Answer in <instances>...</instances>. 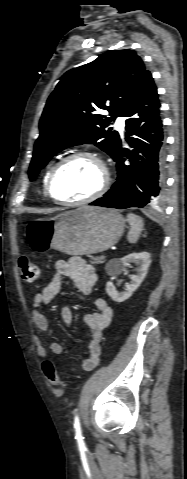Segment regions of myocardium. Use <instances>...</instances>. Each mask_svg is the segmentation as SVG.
<instances>
[{
  "mask_svg": "<svg viewBox=\"0 0 187 479\" xmlns=\"http://www.w3.org/2000/svg\"><path fill=\"white\" fill-rule=\"evenodd\" d=\"M78 158H88V159H91V160L95 161L100 166V168L102 170V173H103L102 182H101L100 186L98 187V189L94 193H92L91 195H89L85 198H82V199H79V200H61V199L57 198L53 193L54 178H55L56 174L58 173V171L65 164H67L68 162H70L74 159H78ZM109 184H110L109 170L106 167L105 163L102 161V159L97 154H95L93 152L81 150V151L73 152V153L63 157L51 168V170L48 174L47 180H46V184H45V194L51 201H53L57 204H61V205H65V206H78V205H84V204L94 202L95 200L102 197L106 193V191L109 187Z\"/></svg>",
  "mask_w": 187,
  "mask_h": 479,
  "instance_id": "myocardium-1",
  "label": "myocardium"
}]
</instances>
